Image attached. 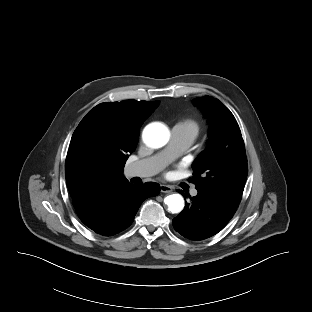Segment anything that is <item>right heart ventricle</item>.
<instances>
[{
  "mask_svg": "<svg viewBox=\"0 0 312 312\" xmlns=\"http://www.w3.org/2000/svg\"><path fill=\"white\" fill-rule=\"evenodd\" d=\"M174 127L178 128L187 136H189L192 142L196 139V137L199 135L201 131L200 124L195 119L192 118L184 119L178 122Z\"/></svg>",
  "mask_w": 312,
  "mask_h": 312,
  "instance_id": "obj_1",
  "label": "right heart ventricle"
}]
</instances>
